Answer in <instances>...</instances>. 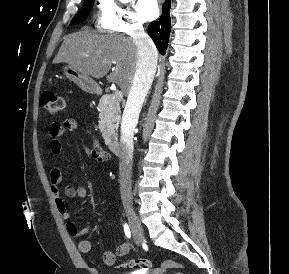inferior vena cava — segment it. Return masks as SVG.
<instances>
[{
    "mask_svg": "<svg viewBox=\"0 0 289 274\" xmlns=\"http://www.w3.org/2000/svg\"><path fill=\"white\" fill-rule=\"evenodd\" d=\"M133 41L137 46L136 70L121 122L119 182L122 196H128L131 193L134 128L157 68L155 45L145 33L142 25H138L135 29Z\"/></svg>",
    "mask_w": 289,
    "mask_h": 274,
    "instance_id": "602c4592",
    "label": "inferior vena cava"
}]
</instances>
